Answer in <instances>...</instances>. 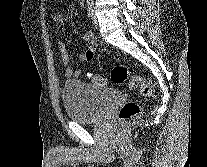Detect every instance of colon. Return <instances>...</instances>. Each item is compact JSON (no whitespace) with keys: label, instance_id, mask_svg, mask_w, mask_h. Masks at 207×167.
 Segmentation results:
<instances>
[{"label":"colon","instance_id":"1","mask_svg":"<svg viewBox=\"0 0 207 167\" xmlns=\"http://www.w3.org/2000/svg\"><path fill=\"white\" fill-rule=\"evenodd\" d=\"M88 78L97 86H104L107 82L106 77L102 74L88 73ZM111 80L115 84L127 83L131 89L137 90L143 97L154 98L156 95L153 85L145 81L140 76H130L129 70L123 65H116L112 68ZM141 112V106L137 102L128 101L120 108L118 112V120L120 122H125L140 115Z\"/></svg>","mask_w":207,"mask_h":167}]
</instances>
